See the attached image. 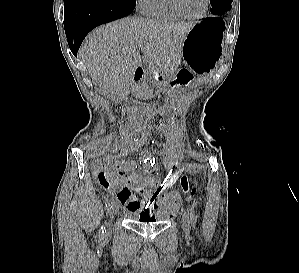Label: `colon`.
I'll return each mask as SVG.
<instances>
[{
    "label": "colon",
    "mask_w": 299,
    "mask_h": 273,
    "mask_svg": "<svg viewBox=\"0 0 299 273\" xmlns=\"http://www.w3.org/2000/svg\"><path fill=\"white\" fill-rule=\"evenodd\" d=\"M96 177L99 180L106 181L108 178V170L102 164L95 165ZM181 188L185 193L193 194L195 189L192 187L189 176H183L181 178Z\"/></svg>",
    "instance_id": "colon-1"
}]
</instances>
